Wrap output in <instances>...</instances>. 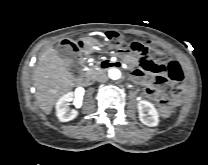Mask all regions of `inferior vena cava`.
Here are the masks:
<instances>
[{
    "label": "inferior vena cava",
    "instance_id": "inferior-vena-cava-1",
    "mask_svg": "<svg viewBox=\"0 0 208 165\" xmlns=\"http://www.w3.org/2000/svg\"><path fill=\"white\" fill-rule=\"evenodd\" d=\"M98 82H106L108 77L105 73H99L96 78H95Z\"/></svg>",
    "mask_w": 208,
    "mask_h": 165
}]
</instances>
